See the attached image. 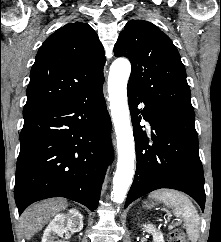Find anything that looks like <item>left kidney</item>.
Listing matches in <instances>:
<instances>
[{"label": "left kidney", "instance_id": "5707ae66", "mask_svg": "<svg viewBox=\"0 0 221 242\" xmlns=\"http://www.w3.org/2000/svg\"><path fill=\"white\" fill-rule=\"evenodd\" d=\"M142 229H143V231H146L153 235V242H165L164 238H163V234L161 232L157 231L153 225L145 224V225H143Z\"/></svg>", "mask_w": 221, "mask_h": 242}]
</instances>
